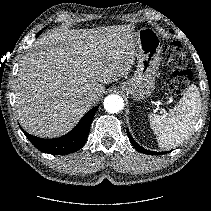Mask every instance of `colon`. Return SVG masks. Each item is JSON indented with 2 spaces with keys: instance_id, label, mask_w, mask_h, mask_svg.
<instances>
[{
  "instance_id": "colon-1",
  "label": "colon",
  "mask_w": 211,
  "mask_h": 211,
  "mask_svg": "<svg viewBox=\"0 0 211 211\" xmlns=\"http://www.w3.org/2000/svg\"><path fill=\"white\" fill-rule=\"evenodd\" d=\"M163 61L173 69L164 78L170 93L174 96H181L192 78L190 71L181 69L186 63L182 45L178 42L171 43L163 56Z\"/></svg>"
}]
</instances>
